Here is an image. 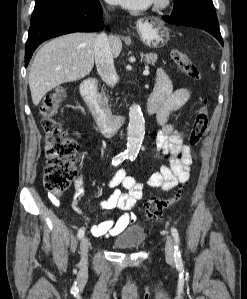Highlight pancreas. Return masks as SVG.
<instances>
[{
	"instance_id": "cf45deb5",
	"label": "pancreas",
	"mask_w": 247,
	"mask_h": 299,
	"mask_svg": "<svg viewBox=\"0 0 247 299\" xmlns=\"http://www.w3.org/2000/svg\"><path fill=\"white\" fill-rule=\"evenodd\" d=\"M158 56L155 53H149L146 54L144 57V61L146 64L149 65H155V63L157 62Z\"/></svg>"
}]
</instances>
